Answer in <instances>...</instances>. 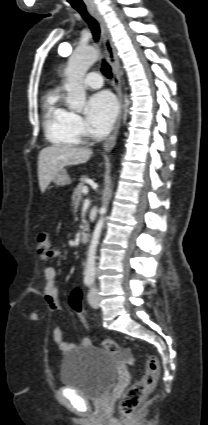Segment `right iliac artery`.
<instances>
[{"label":"right iliac artery","mask_w":208,"mask_h":425,"mask_svg":"<svg viewBox=\"0 0 208 425\" xmlns=\"http://www.w3.org/2000/svg\"><path fill=\"white\" fill-rule=\"evenodd\" d=\"M91 283H92V280H91V279H86V280H85V284H86V285H90Z\"/></svg>","instance_id":"obj_1"}]
</instances>
